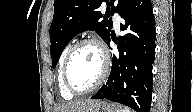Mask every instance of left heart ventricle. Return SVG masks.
<instances>
[{"mask_svg":"<svg viewBox=\"0 0 193 112\" xmlns=\"http://www.w3.org/2000/svg\"><path fill=\"white\" fill-rule=\"evenodd\" d=\"M102 69L100 51L93 45H84L71 58L69 79L77 90L91 87L98 79Z\"/></svg>","mask_w":193,"mask_h":112,"instance_id":"obj_1","label":"left heart ventricle"}]
</instances>
